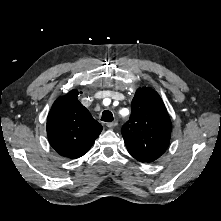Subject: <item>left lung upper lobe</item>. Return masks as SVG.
Returning <instances> with one entry per match:
<instances>
[{
    "instance_id": "left-lung-upper-lobe-1",
    "label": "left lung upper lobe",
    "mask_w": 221,
    "mask_h": 221,
    "mask_svg": "<svg viewBox=\"0 0 221 221\" xmlns=\"http://www.w3.org/2000/svg\"><path fill=\"white\" fill-rule=\"evenodd\" d=\"M172 125L159 94L138 88L132 100L130 120L122 127L128 152L140 162H152L169 146Z\"/></svg>"
}]
</instances>
